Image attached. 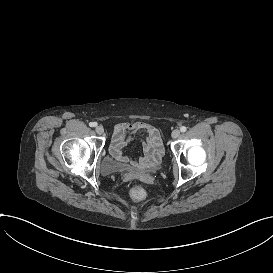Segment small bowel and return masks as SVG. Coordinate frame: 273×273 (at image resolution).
Masks as SVG:
<instances>
[{
    "mask_svg": "<svg viewBox=\"0 0 273 273\" xmlns=\"http://www.w3.org/2000/svg\"><path fill=\"white\" fill-rule=\"evenodd\" d=\"M135 132H143L147 136L145 155L140 160L129 159L123 153L127 138ZM110 153L117 161L123 162L127 170L138 171L145 168L157 167L163 154V147L149 124L145 122H121L114 128Z\"/></svg>",
    "mask_w": 273,
    "mask_h": 273,
    "instance_id": "c3829d8e",
    "label": "small bowel"
}]
</instances>
